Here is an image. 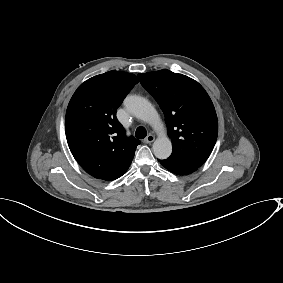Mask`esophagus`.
Here are the masks:
<instances>
[{"label": "esophagus", "mask_w": 283, "mask_h": 283, "mask_svg": "<svg viewBox=\"0 0 283 283\" xmlns=\"http://www.w3.org/2000/svg\"><path fill=\"white\" fill-rule=\"evenodd\" d=\"M155 140V136L152 135V134H149L145 139H144V142L145 143H151Z\"/></svg>", "instance_id": "34e87169"}]
</instances>
